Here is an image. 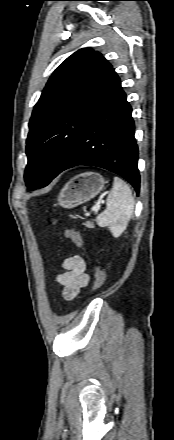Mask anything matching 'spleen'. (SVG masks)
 Wrapping results in <instances>:
<instances>
[{"label": "spleen", "mask_w": 174, "mask_h": 440, "mask_svg": "<svg viewBox=\"0 0 174 440\" xmlns=\"http://www.w3.org/2000/svg\"><path fill=\"white\" fill-rule=\"evenodd\" d=\"M106 206V210L97 217V224L107 227L113 237H119L127 228L134 209L131 189L119 177H114L112 192L107 197Z\"/></svg>", "instance_id": "spleen-1"}]
</instances>
